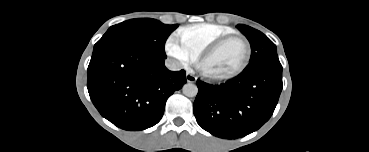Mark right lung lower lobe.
<instances>
[{
  "label": "right lung lower lobe",
  "mask_w": 369,
  "mask_h": 152,
  "mask_svg": "<svg viewBox=\"0 0 369 152\" xmlns=\"http://www.w3.org/2000/svg\"><path fill=\"white\" fill-rule=\"evenodd\" d=\"M90 98L100 114L119 128L144 130L157 124L186 72L169 71L164 58L120 44L93 53L87 72Z\"/></svg>",
  "instance_id": "obj_1"
}]
</instances>
